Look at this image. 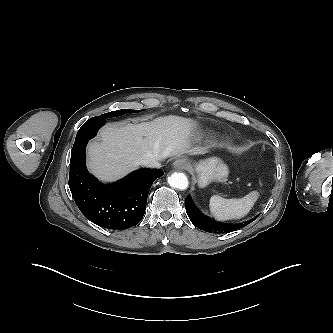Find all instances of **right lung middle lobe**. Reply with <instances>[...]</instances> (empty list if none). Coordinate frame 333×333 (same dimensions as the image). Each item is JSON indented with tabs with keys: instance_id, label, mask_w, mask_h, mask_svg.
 Returning a JSON list of instances; mask_svg holds the SVG:
<instances>
[{
	"instance_id": "1",
	"label": "right lung middle lobe",
	"mask_w": 333,
	"mask_h": 333,
	"mask_svg": "<svg viewBox=\"0 0 333 333\" xmlns=\"http://www.w3.org/2000/svg\"><path fill=\"white\" fill-rule=\"evenodd\" d=\"M134 112H137V110L122 109V110H118V111H112V112H109V113H105V114H102V115L97 116V117L110 118V117L120 116V115H123L125 113H134Z\"/></svg>"
}]
</instances>
